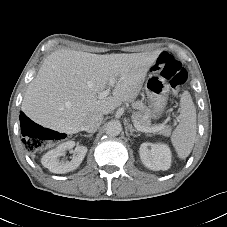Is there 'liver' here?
<instances>
[{
	"mask_svg": "<svg viewBox=\"0 0 227 227\" xmlns=\"http://www.w3.org/2000/svg\"><path fill=\"white\" fill-rule=\"evenodd\" d=\"M157 57L156 52L97 55L57 50L44 59L21 109L43 127L78 133L89 115H107L122 103L132 102ZM111 77L117 78L112 95L100 98Z\"/></svg>",
	"mask_w": 227,
	"mask_h": 227,
	"instance_id": "obj_1",
	"label": "liver"
}]
</instances>
